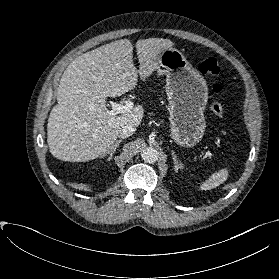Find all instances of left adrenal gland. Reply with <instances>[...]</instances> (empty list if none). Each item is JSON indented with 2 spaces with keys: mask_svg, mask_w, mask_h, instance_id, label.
I'll return each mask as SVG.
<instances>
[{
  "mask_svg": "<svg viewBox=\"0 0 279 279\" xmlns=\"http://www.w3.org/2000/svg\"><path fill=\"white\" fill-rule=\"evenodd\" d=\"M172 158L174 162V170L177 172L179 168L182 167L181 162L178 161L175 151L172 150Z\"/></svg>",
  "mask_w": 279,
  "mask_h": 279,
  "instance_id": "obj_1",
  "label": "left adrenal gland"
}]
</instances>
